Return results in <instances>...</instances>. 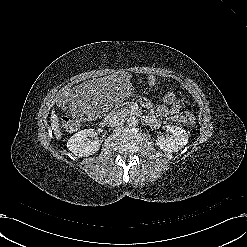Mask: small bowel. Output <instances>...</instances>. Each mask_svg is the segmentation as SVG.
Wrapping results in <instances>:
<instances>
[{
	"mask_svg": "<svg viewBox=\"0 0 247 247\" xmlns=\"http://www.w3.org/2000/svg\"><path fill=\"white\" fill-rule=\"evenodd\" d=\"M150 85H154L155 84V78L153 76L149 77L148 80ZM142 104L145 108L149 109V110H153V104L151 102H149L148 100H143ZM156 114H148L146 116V122L152 126V127H158L160 126V119L158 116L164 117L168 120L171 121H175V122H179V123H185L186 122V118L189 115V113L187 112H181L180 111V105L178 102L175 101L174 99H167L164 97V104L159 106L156 109Z\"/></svg>",
	"mask_w": 247,
	"mask_h": 247,
	"instance_id": "1",
	"label": "small bowel"
}]
</instances>
